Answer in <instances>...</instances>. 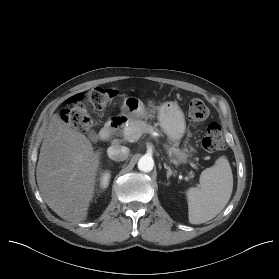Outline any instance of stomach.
Listing matches in <instances>:
<instances>
[{
    "label": "stomach",
    "mask_w": 279,
    "mask_h": 279,
    "mask_svg": "<svg viewBox=\"0 0 279 279\" xmlns=\"http://www.w3.org/2000/svg\"><path fill=\"white\" fill-rule=\"evenodd\" d=\"M121 116L128 122L146 117L143 102L133 97L125 98L122 105ZM157 118L163 132L177 145L183 137L186 128L184 113L179 105L174 101L163 103L158 108ZM176 155L179 159L185 157V154L180 150L176 151Z\"/></svg>",
    "instance_id": "stomach-1"
}]
</instances>
